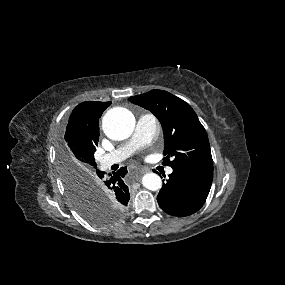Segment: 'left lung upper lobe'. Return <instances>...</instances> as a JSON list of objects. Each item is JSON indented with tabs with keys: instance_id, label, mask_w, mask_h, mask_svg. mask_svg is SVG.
<instances>
[{
	"instance_id": "obj_1",
	"label": "left lung upper lobe",
	"mask_w": 285,
	"mask_h": 285,
	"mask_svg": "<svg viewBox=\"0 0 285 285\" xmlns=\"http://www.w3.org/2000/svg\"><path fill=\"white\" fill-rule=\"evenodd\" d=\"M129 101L151 111L164 131V164L173 169L213 173L207 133L191 106L163 90L132 96Z\"/></svg>"
}]
</instances>
